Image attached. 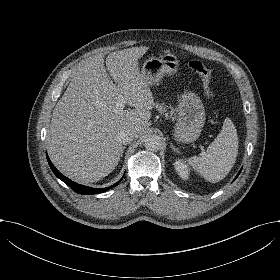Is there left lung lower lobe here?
Listing matches in <instances>:
<instances>
[{"instance_id":"left-lung-lower-lobe-1","label":"left lung lower lobe","mask_w":280,"mask_h":280,"mask_svg":"<svg viewBox=\"0 0 280 280\" xmlns=\"http://www.w3.org/2000/svg\"><path fill=\"white\" fill-rule=\"evenodd\" d=\"M241 172V171H240ZM240 172L238 173V175L240 174ZM238 175L236 176V178L238 177Z\"/></svg>"}]
</instances>
